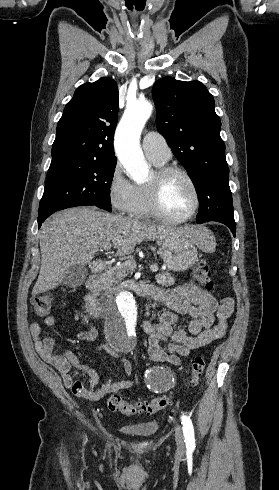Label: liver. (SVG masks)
Instances as JSON below:
<instances>
[{
  "instance_id": "1",
  "label": "liver",
  "mask_w": 279,
  "mask_h": 490,
  "mask_svg": "<svg viewBox=\"0 0 279 490\" xmlns=\"http://www.w3.org/2000/svg\"><path fill=\"white\" fill-rule=\"evenodd\" d=\"M202 226L168 228L140 220L99 212L95 206L68 208L44 222L40 234L41 268L32 290L33 296L59 286L69 266L90 264L95 254L112 242L117 256H129L135 246L148 240H164L181 234L200 246Z\"/></svg>"
}]
</instances>
